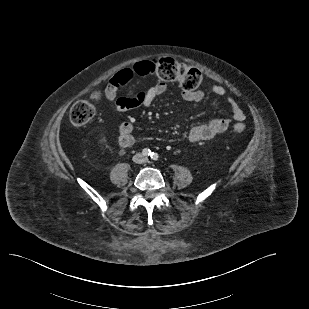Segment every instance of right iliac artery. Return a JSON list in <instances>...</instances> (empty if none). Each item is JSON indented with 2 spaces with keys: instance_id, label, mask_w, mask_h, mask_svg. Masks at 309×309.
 I'll use <instances>...</instances> for the list:
<instances>
[{
  "instance_id": "82829eb1",
  "label": "right iliac artery",
  "mask_w": 309,
  "mask_h": 309,
  "mask_svg": "<svg viewBox=\"0 0 309 309\" xmlns=\"http://www.w3.org/2000/svg\"><path fill=\"white\" fill-rule=\"evenodd\" d=\"M142 154L144 156H150L152 153H151V150L145 148V149H143Z\"/></svg>"
}]
</instances>
